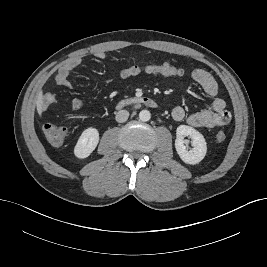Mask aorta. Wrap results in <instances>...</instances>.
<instances>
[{
    "label": "aorta",
    "mask_w": 267,
    "mask_h": 267,
    "mask_svg": "<svg viewBox=\"0 0 267 267\" xmlns=\"http://www.w3.org/2000/svg\"><path fill=\"white\" fill-rule=\"evenodd\" d=\"M151 118V113L148 110H142L139 113V119L143 122L149 121Z\"/></svg>",
    "instance_id": "obj_1"
}]
</instances>
